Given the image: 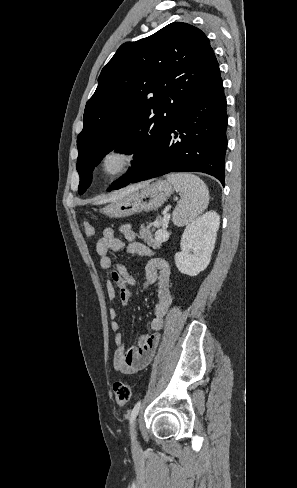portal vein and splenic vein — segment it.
<instances>
[{"mask_svg": "<svg viewBox=\"0 0 297 488\" xmlns=\"http://www.w3.org/2000/svg\"><path fill=\"white\" fill-rule=\"evenodd\" d=\"M162 214H163V220L167 222L170 219V215L167 213V209L164 210ZM158 233L159 232L156 233V237L158 236Z\"/></svg>", "mask_w": 297, "mask_h": 488, "instance_id": "18ae733b", "label": "portal vein and splenic vein"}]
</instances>
